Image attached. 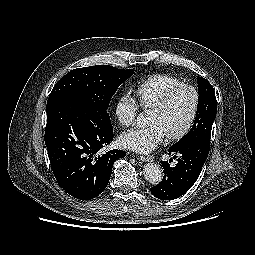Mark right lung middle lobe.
Masks as SVG:
<instances>
[{
	"label": "right lung middle lobe",
	"mask_w": 255,
	"mask_h": 255,
	"mask_svg": "<svg viewBox=\"0 0 255 255\" xmlns=\"http://www.w3.org/2000/svg\"><path fill=\"white\" fill-rule=\"evenodd\" d=\"M134 70L109 65L77 68L63 76L51 91L46 109L67 100L85 109L102 128H112L107 113L109 103L118 87L131 77Z\"/></svg>",
	"instance_id": "obj_1"
}]
</instances>
